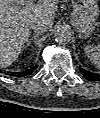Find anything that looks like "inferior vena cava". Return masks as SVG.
<instances>
[{
	"label": "inferior vena cava",
	"mask_w": 100,
	"mask_h": 118,
	"mask_svg": "<svg viewBox=\"0 0 100 118\" xmlns=\"http://www.w3.org/2000/svg\"><path fill=\"white\" fill-rule=\"evenodd\" d=\"M31 29L34 32L43 33L45 31H47V29H49V26L47 25V23L45 21H43V20H37V21H34L31 24Z\"/></svg>",
	"instance_id": "obj_1"
}]
</instances>
